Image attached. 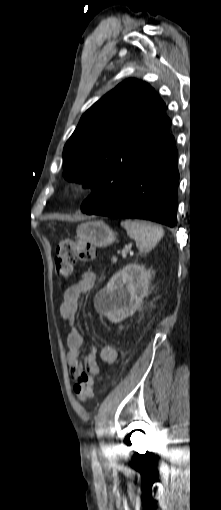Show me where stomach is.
I'll list each match as a JSON object with an SVG mask.
<instances>
[{
	"instance_id": "obj_1",
	"label": "stomach",
	"mask_w": 221,
	"mask_h": 510,
	"mask_svg": "<svg viewBox=\"0 0 221 510\" xmlns=\"http://www.w3.org/2000/svg\"><path fill=\"white\" fill-rule=\"evenodd\" d=\"M77 238L95 247H107L116 240V233L103 221H89L80 224L76 230Z\"/></svg>"
}]
</instances>
